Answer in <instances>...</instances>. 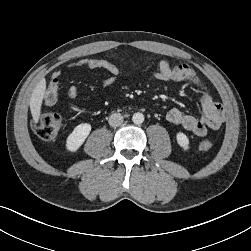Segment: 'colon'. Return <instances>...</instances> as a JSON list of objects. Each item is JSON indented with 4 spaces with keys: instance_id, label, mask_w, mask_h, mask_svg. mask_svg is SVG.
Wrapping results in <instances>:
<instances>
[{
    "instance_id": "obj_1",
    "label": "colon",
    "mask_w": 251,
    "mask_h": 251,
    "mask_svg": "<svg viewBox=\"0 0 251 251\" xmlns=\"http://www.w3.org/2000/svg\"><path fill=\"white\" fill-rule=\"evenodd\" d=\"M62 127V118L56 112H44L33 121V129L38 136L44 140L54 139ZM213 144L209 140H204L199 144L203 151L210 150Z\"/></svg>"
}]
</instances>
